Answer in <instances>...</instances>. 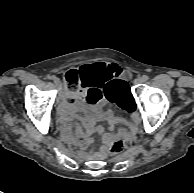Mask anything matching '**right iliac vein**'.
<instances>
[{"label": "right iliac vein", "instance_id": "obj_1", "mask_svg": "<svg viewBox=\"0 0 194 193\" xmlns=\"http://www.w3.org/2000/svg\"><path fill=\"white\" fill-rule=\"evenodd\" d=\"M54 81H55V84H56L57 86H59V89L61 90V89H62V85H61V83H60V80H59L58 78H56ZM59 94L61 95V92H60Z\"/></svg>", "mask_w": 194, "mask_h": 193}]
</instances>
